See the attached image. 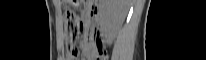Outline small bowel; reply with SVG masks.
Instances as JSON below:
<instances>
[{"mask_svg": "<svg viewBox=\"0 0 206 60\" xmlns=\"http://www.w3.org/2000/svg\"><path fill=\"white\" fill-rule=\"evenodd\" d=\"M86 52H87V55H91V53H92L91 48H90V47H87V48H86ZM70 59L72 60V59H74V58H70Z\"/></svg>", "mask_w": 206, "mask_h": 60, "instance_id": "obj_1", "label": "small bowel"}]
</instances>
